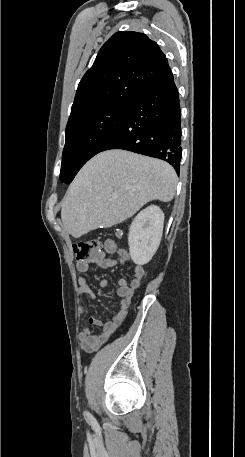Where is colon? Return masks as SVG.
<instances>
[{"label":"colon","mask_w":245,"mask_h":457,"mask_svg":"<svg viewBox=\"0 0 245 457\" xmlns=\"http://www.w3.org/2000/svg\"><path fill=\"white\" fill-rule=\"evenodd\" d=\"M100 252L101 244L98 239L82 240L73 245L74 257L78 262L90 260Z\"/></svg>","instance_id":"5ec220e1"}]
</instances>
